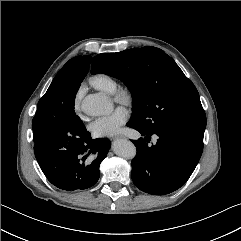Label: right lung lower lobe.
Listing matches in <instances>:
<instances>
[{
	"label": "right lung lower lobe",
	"instance_id": "98d812e1",
	"mask_svg": "<svg viewBox=\"0 0 241 241\" xmlns=\"http://www.w3.org/2000/svg\"><path fill=\"white\" fill-rule=\"evenodd\" d=\"M34 152L47 179L56 187L83 190L92 187L99 179V166L110 148L105 138L92 139L90 133L75 147L51 150L34 135Z\"/></svg>",
	"mask_w": 241,
	"mask_h": 241
}]
</instances>
